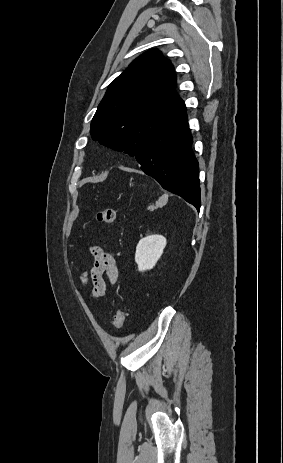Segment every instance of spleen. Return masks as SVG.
Instances as JSON below:
<instances>
[{
	"mask_svg": "<svg viewBox=\"0 0 283 463\" xmlns=\"http://www.w3.org/2000/svg\"><path fill=\"white\" fill-rule=\"evenodd\" d=\"M167 199H168V195H167V194H164V195L158 200V203L166 202Z\"/></svg>",
	"mask_w": 283,
	"mask_h": 463,
	"instance_id": "obj_1",
	"label": "spleen"
}]
</instances>
